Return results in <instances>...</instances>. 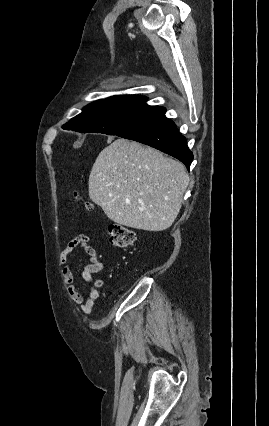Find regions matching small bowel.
I'll return each instance as SVG.
<instances>
[{
    "label": "small bowel",
    "mask_w": 269,
    "mask_h": 426,
    "mask_svg": "<svg viewBox=\"0 0 269 426\" xmlns=\"http://www.w3.org/2000/svg\"><path fill=\"white\" fill-rule=\"evenodd\" d=\"M82 249L87 257L88 264L82 270V278L89 285V293L86 295L74 284V276L69 266V256L76 250ZM60 265L62 269L63 282L67 287L71 300L79 305L84 314H89L99 298V289L103 286V281L94 279L93 275L103 270L97 252L91 244L90 238L86 235H79L68 242L60 255Z\"/></svg>",
    "instance_id": "c3829d8e"
}]
</instances>
